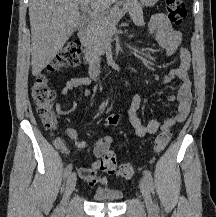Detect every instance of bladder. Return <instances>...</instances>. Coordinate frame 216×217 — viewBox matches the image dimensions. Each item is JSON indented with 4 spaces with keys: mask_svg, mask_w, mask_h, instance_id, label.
I'll use <instances>...</instances> for the list:
<instances>
[{
    "mask_svg": "<svg viewBox=\"0 0 216 217\" xmlns=\"http://www.w3.org/2000/svg\"><path fill=\"white\" fill-rule=\"evenodd\" d=\"M92 197L98 202H117L123 198V193L115 190H97Z\"/></svg>",
    "mask_w": 216,
    "mask_h": 217,
    "instance_id": "31cf9c89",
    "label": "bladder"
}]
</instances>
